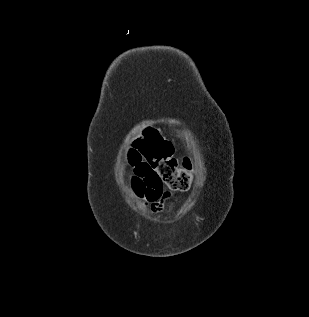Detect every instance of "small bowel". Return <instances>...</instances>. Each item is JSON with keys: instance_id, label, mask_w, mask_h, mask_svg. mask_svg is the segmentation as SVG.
Instances as JSON below:
<instances>
[{"instance_id": "obj_1", "label": "small bowel", "mask_w": 309, "mask_h": 317, "mask_svg": "<svg viewBox=\"0 0 309 317\" xmlns=\"http://www.w3.org/2000/svg\"><path fill=\"white\" fill-rule=\"evenodd\" d=\"M130 164L132 172L129 182L133 193L144 200L154 214L170 211L171 206L167 203L172 198V194L164 192L162 185L155 181L149 165L144 160Z\"/></svg>"}]
</instances>
